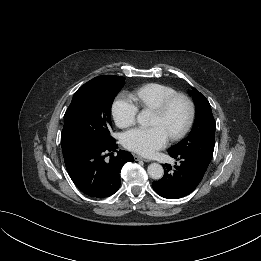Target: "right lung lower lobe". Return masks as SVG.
<instances>
[{
  "label": "right lung lower lobe",
  "mask_w": 261,
  "mask_h": 261,
  "mask_svg": "<svg viewBox=\"0 0 261 261\" xmlns=\"http://www.w3.org/2000/svg\"><path fill=\"white\" fill-rule=\"evenodd\" d=\"M115 140L104 145L84 146L63 154L64 162L74 184L90 197H109L118 191L123 165L134 161L130 152H116ZM110 155V159L106 158Z\"/></svg>",
  "instance_id": "right-lung-lower-lobe-1"
}]
</instances>
